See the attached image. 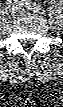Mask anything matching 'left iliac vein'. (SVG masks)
Here are the masks:
<instances>
[{
    "instance_id": "4c4485c4",
    "label": "left iliac vein",
    "mask_w": 63,
    "mask_h": 107,
    "mask_svg": "<svg viewBox=\"0 0 63 107\" xmlns=\"http://www.w3.org/2000/svg\"><path fill=\"white\" fill-rule=\"evenodd\" d=\"M18 11H19L20 13H23V12H25V9H24V8L19 7V8H18Z\"/></svg>"
}]
</instances>
